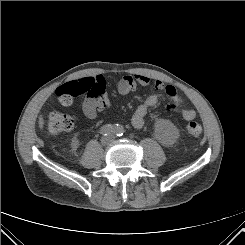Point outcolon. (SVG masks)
<instances>
[{
  "mask_svg": "<svg viewBox=\"0 0 245 245\" xmlns=\"http://www.w3.org/2000/svg\"><path fill=\"white\" fill-rule=\"evenodd\" d=\"M98 95V89L90 79L83 78L80 80L70 81L61 85L56 90V101L63 105L69 106L77 98H88ZM74 126V118L57 110L50 112L48 116V132L51 136H59L70 131ZM187 134L190 137H198L202 133V127L197 122H190L186 127Z\"/></svg>",
  "mask_w": 245,
  "mask_h": 245,
  "instance_id": "obj_1",
  "label": "colon"
}]
</instances>
